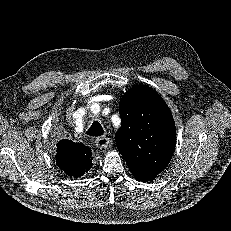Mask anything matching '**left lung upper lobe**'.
I'll return each mask as SVG.
<instances>
[{"mask_svg":"<svg viewBox=\"0 0 231 231\" xmlns=\"http://www.w3.org/2000/svg\"><path fill=\"white\" fill-rule=\"evenodd\" d=\"M119 113V152L136 179H154L169 164L176 145L170 109L156 91L138 85L123 95Z\"/></svg>","mask_w":231,"mask_h":231,"instance_id":"obj_1","label":"left lung upper lobe"}]
</instances>
